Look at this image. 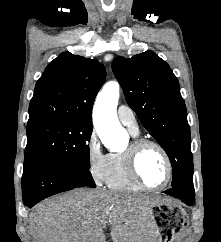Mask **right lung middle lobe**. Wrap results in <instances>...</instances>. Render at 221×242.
<instances>
[{
  "instance_id": "right-lung-middle-lobe-1",
  "label": "right lung middle lobe",
  "mask_w": 221,
  "mask_h": 242,
  "mask_svg": "<svg viewBox=\"0 0 221 242\" xmlns=\"http://www.w3.org/2000/svg\"><path fill=\"white\" fill-rule=\"evenodd\" d=\"M92 124L54 121L27 126L25 159L48 157L90 168Z\"/></svg>"
}]
</instances>
